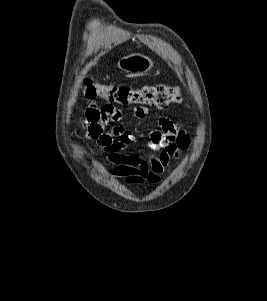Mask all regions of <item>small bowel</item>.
<instances>
[{
	"mask_svg": "<svg viewBox=\"0 0 267 301\" xmlns=\"http://www.w3.org/2000/svg\"><path fill=\"white\" fill-rule=\"evenodd\" d=\"M134 116L144 120L148 118L149 111L139 106L134 109ZM110 123L115 125L108 130ZM157 123L158 128L151 131L147 141L151 154L146 158L127 152L135 137L122 123V113L114 103L98 106L90 101L80 126L85 137L93 140L104 154L102 167L112 165L113 177L121 178L127 185H138L160 183L170 160L177 159L180 151L191 145L189 135L170 118L158 116Z\"/></svg>",
	"mask_w": 267,
	"mask_h": 301,
	"instance_id": "1",
	"label": "small bowel"
}]
</instances>
